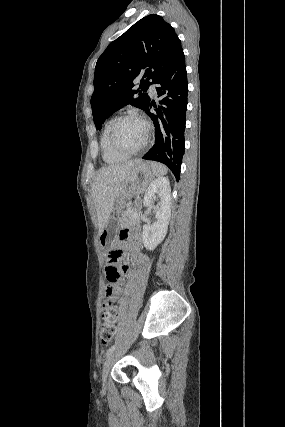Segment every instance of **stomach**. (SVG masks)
<instances>
[{
	"label": "stomach",
	"mask_w": 285,
	"mask_h": 427,
	"mask_svg": "<svg viewBox=\"0 0 285 427\" xmlns=\"http://www.w3.org/2000/svg\"><path fill=\"white\" fill-rule=\"evenodd\" d=\"M153 177L152 168L146 162H140L131 169L116 199L113 215L109 218L105 228L99 235V243L103 249L109 248L115 234L119 230L120 221L124 216L126 207L129 206L127 201L133 196L144 192Z\"/></svg>",
	"instance_id": "1"
}]
</instances>
